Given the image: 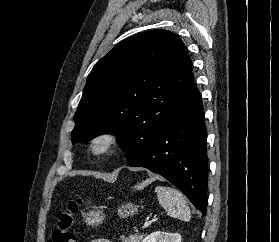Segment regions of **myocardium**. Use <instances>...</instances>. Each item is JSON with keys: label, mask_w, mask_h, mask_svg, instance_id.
<instances>
[{"label": "myocardium", "mask_w": 279, "mask_h": 242, "mask_svg": "<svg viewBox=\"0 0 279 242\" xmlns=\"http://www.w3.org/2000/svg\"><path fill=\"white\" fill-rule=\"evenodd\" d=\"M119 142L118 135L113 131H100L89 141L88 149L91 155L102 157L112 152Z\"/></svg>", "instance_id": "1"}]
</instances>
